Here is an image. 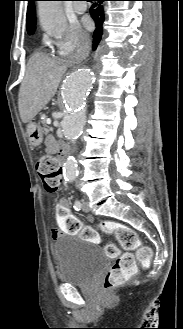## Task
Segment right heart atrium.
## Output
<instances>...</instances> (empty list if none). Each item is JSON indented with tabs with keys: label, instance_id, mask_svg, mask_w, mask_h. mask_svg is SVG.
I'll use <instances>...</instances> for the list:
<instances>
[{
	"label": "right heart atrium",
	"instance_id": "1",
	"mask_svg": "<svg viewBox=\"0 0 183 329\" xmlns=\"http://www.w3.org/2000/svg\"><path fill=\"white\" fill-rule=\"evenodd\" d=\"M47 40L53 43L60 54L66 55L73 51V49L80 45H88L89 38L84 30L78 23H73L67 30L64 36L58 39H51L47 37Z\"/></svg>",
	"mask_w": 183,
	"mask_h": 329
}]
</instances>
